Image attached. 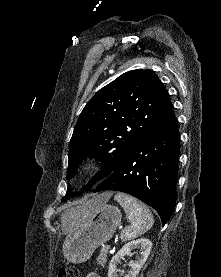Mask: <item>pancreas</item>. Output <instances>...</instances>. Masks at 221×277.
Segmentation results:
<instances>
[{
    "label": "pancreas",
    "instance_id": "obj_1",
    "mask_svg": "<svg viewBox=\"0 0 221 277\" xmlns=\"http://www.w3.org/2000/svg\"><path fill=\"white\" fill-rule=\"evenodd\" d=\"M107 252L108 250H104L103 248L100 250V254L96 258L97 263L101 266L104 267L106 262H107Z\"/></svg>",
    "mask_w": 221,
    "mask_h": 277
}]
</instances>
